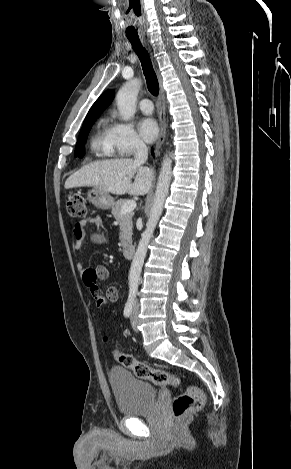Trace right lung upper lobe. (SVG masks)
Here are the masks:
<instances>
[{"instance_id": "cb5924a9", "label": "right lung upper lobe", "mask_w": 291, "mask_h": 469, "mask_svg": "<svg viewBox=\"0 0 291 469\" xmlns=\"http://www.w3.org/2000/svg\"><path fill=\"white\" fill-rule=\"evenodd\" d=\"M114 98V91L113 90H107L105 91L93 104L91 109L89 110L86 118H97L100 113L110 105ZM85 118V119H86Z\"/></svg>"}]
</instances>
